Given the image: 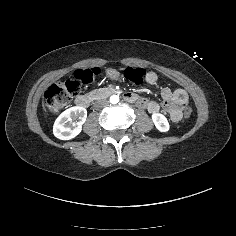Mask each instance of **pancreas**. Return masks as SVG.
Listing matches in <instances>:
<instances>
[{"label": "pancreas", "instance_id": "1", "mask_svg": "<svg viewBox=\"0 0 236 236\" xmlns=\"http://www.w3.org/2000/svg\"><path fill=\"white\" fill-rule=\"evenodd\" d=\"M88 95L93 99H97L99 97V90L97 89L92 90L91 92L88 93Z\"/></svg>", "mask_w": 236, "mask_h": 236}]
</instances>
